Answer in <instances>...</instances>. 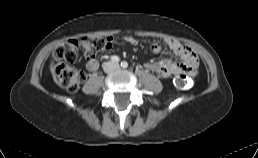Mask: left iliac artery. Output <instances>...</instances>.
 I'll return each mask as SVG.
<instances>
[{
    "instance_id": "obj_1",
    "label": "left iliac artery",
    "mask_w": 258,
    "mask_h": 158,
    "mask_svg": "<svg viewBox=\"0 0 258 158\" xmlns=\"http://www.w3.org/2000/svg\"><path fill=\"white\" fill-rule=\"evenodd\" d=\"M121 66L123 68H127L128 67V63L126 61H123V62H121Z\"/></svg>"
}]
</instances>
